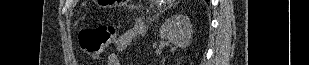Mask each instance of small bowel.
<instances>
[{"mask_svg":"<svg viewBox=\"0 0 309 65\" xmlns=\"http://www.w3.org/2000/svg\"><path fill=\"white\" fill-rule=\"evenodd\" d=\"M145 31V24L142 19H136L131 29L123 33L116 42V50H125L137 36ZM108 65H123L118 53H112L108 57Z\"/></svg>","mask_w":309,"mask_h":65,"instance_id":"1","label":"small bowel"}]
</instances>
